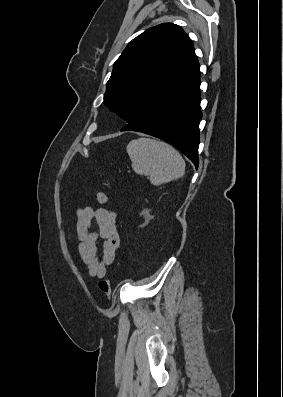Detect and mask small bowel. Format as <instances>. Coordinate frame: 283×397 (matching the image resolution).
<instances>
[{"label": "small bowel", "mask_w": 283, "mask_h": 397, "mask_svg": "<svg viewBox=\"0 0 283 397\" xmlns=\"http://www.w3.org/2000/svg\"><path fill=\"white\" fill-rule=\"evenodd\" d=\"M76 218L80 257L91 277L103 278L107 268L113 264L120 246L116 216L108 209L83 206L77 208ZM94 224L98 227L97 231L92 230ZM99 239L103 241L101 259L97 255Z\"/></svg>", "instance_id": "1"}]
</instances>
